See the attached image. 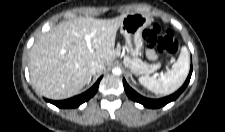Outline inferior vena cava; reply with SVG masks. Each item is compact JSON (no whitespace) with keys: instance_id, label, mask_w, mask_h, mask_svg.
I'll return each mask as SVG.
<instances>
[{"instance_id":"obj_1","label":"inferior vena cava","mask_w":225,"mask_h":132,"mask_svg":"<svg viewBox=\"0 0 225 132\" xmlns=\"http://www.w3.org/2000/svg\"><path fill=\"white\" fill-rule=\"evenodd\" d=\"M105 68V65L101 63L100 61L94 60L89 65V72L91 75L100 73Z\"/></svg>"}]
</instances>
